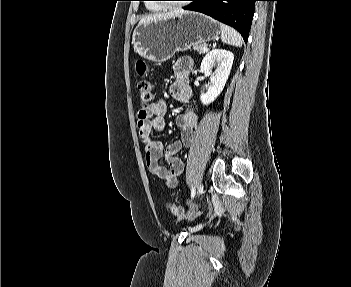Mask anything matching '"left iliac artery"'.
Listing matches in <instances>:
<instances>
[{"mask_svg":"<svg viewBox=\"0 0 351 287\" xmlns=\"http://www.w3.org/2000/svg\"><path fill=\"white\" fill-rule=\"evenodd\" d=\"M195 194H196L195 187H192V189H191V198H194Z\"/></svg>","mask_w":351,"mask_h":287,"instance_id":"obj_1","label":"left iliac artery"}]
</instances>
